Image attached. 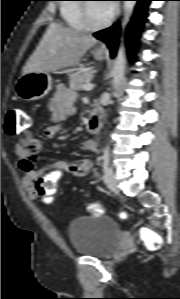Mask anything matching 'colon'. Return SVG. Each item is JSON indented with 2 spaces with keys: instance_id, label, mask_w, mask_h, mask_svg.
Masks as SVG:
<instances>
[{
  "instance_id": "obj_1",
  "label": "colon",
  "mask_w": 180,
  "mask_h": 299,
  "mask_svg": "<svg viewBox=\"0 0 180 299\" xmlns=\"http://www.w3.org/2000/svg\"><path fill=\"white\" fill-rule=\"evenodd\" d=\"M31 123V116L20 108H13L9 110L5 131L7 134L15 136L26 130ZM39 197L45 202L50 203L54 200L56 194L55 183H39L37 186ZM88 210L93 215H101L104 213L105 208L100 203H92L88 206ZM122 218H127L125 214H121ZM140 235L144 240L146 246L150 250H157L162 245V236L148 227L140 228Z\"/></svg>"
}]
</instances>
